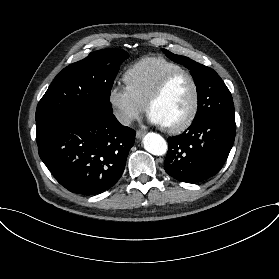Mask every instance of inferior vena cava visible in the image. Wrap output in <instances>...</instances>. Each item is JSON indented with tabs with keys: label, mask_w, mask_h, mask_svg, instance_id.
<instances>
[{
	"label": "inferior vena cava",
	"mask_w": 279,
	"mask_h": 279,
	"mask_svg": "<svg viewBox=\"0 0 279 279\" xmlns=\"http://www.w3.org/2000/svg\"><path fill=\"white\" fill-rule=\"evenodd\" d=\"M116 118L124 126H129L133 121V117L124 112L116 113Z\"/></svg>",
	"instance_id": "1"
}]
</instances>
